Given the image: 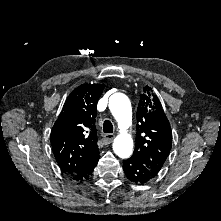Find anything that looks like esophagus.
Returning <instances> with one entry per match:
<instances>
[{"mask_svg":"<svg viewBox=\"0 0 221 221\" xmlns=\"http://www.w3.org/2000/svg\"><path fill=\"white\" fill-rule=\"evenodd\" d=\"M114 137H115V135L111 134V133L104 134V140L109 143L113 141Z\"/></svg>","mask_w":221,"mask_h":221,"instance_id":"34e87169","label":"esophagus"}]
</instances>
